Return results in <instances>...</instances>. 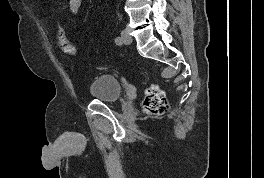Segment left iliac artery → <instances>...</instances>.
I'll return each mask as SVG.
<instances>
[{"mask_svg": "<svg viewBox=\"0 0 264 178\" xmlns=\"http://www.w3.org/2000/svg\"><path fill=\"white\" fill-rule=\"evenodd\" d=\"M115 43H116L117 45H121V44H122V38H121V37H116V38H115Z\"/></svg>", "mask_w": 264, "mask_h": 178, "instance_id": "1", "label": "left iliac artery"}]
</instances>
